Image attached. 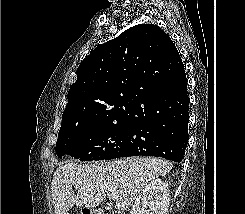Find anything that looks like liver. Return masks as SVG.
I'll return each instance as SVG.
<instances>
[{
    "label": "liver",
    "instance_id": "liver-1",
    "mask_svg": "<svg viewBox=\"0 0 245 214\" xmlns=\"http://www.w3.org/2000/svg\"><path fill=\"white\" fill-rule=\"evenodd\" d=\"M172 166L160 158L142 157L93 164L68 162L59 166L52 178L55 214H66L74 205L97 207L114 194L118 196L116 209L127 210L146 185L169 173Z\"/></svg>",
    "mask_w": 245,
    "mask_h": 214
}]
</instances>
